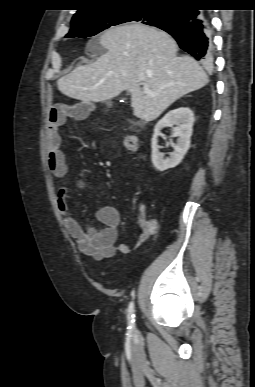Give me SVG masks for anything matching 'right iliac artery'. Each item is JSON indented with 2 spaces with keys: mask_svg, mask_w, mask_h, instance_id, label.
<instances>
[{
  "mask_svg": "<svg viewBox=\"0 0 255 387\" xmlns=\"http://www.w3.org/2000/svg\"><path fill=\"white\" fill-rule=\"evenodd\" d=\"M128 324L129 329H133L135 327V308L133 302H131L128 307Z\"/></svg>",
  "mask_w": 255,
  "mask_h": 387,
  "instance_id": "obj_1",
  "label": "right iliac artery"
}]
</instances>
